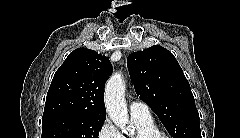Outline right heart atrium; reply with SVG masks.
<instances>
[{"label": "right heart atrium", "mask_w": 240, "mask_h": 138, "mask_svg": "<svg viewBox=\"0 0 240 138\" xmlns=\"http://www.w3.org/2000/svg\"><path fill=\"white\" fill-rule=\"evenodd\" d=\"M98 138H122L119 130L115 125L107 118L101 124L98 133Z\"/></svg>", "instance_id": "right-heart-atrium-1"}]
</instances>
